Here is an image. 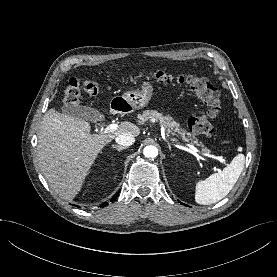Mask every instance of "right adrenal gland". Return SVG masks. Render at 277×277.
<instances>
[{
    "label": "right adrenal gland",
    "instance_id": "1",
    "mask_svg": "<svg viewBox=\"0 0 277 277\" xmlns=\"http://www.w3.org/2000/svg\"><path fill=\"white\" fill-rule=\"evenodd\" d=\"M112 148H115L117 149V151H121V150H124L126 149V147H122V146H117V145H113Z\"/></svg>",
    "mask_w": 277,
    "mask_h": 277
}]
</instances>
